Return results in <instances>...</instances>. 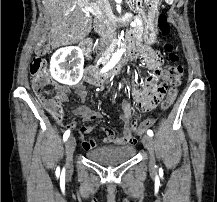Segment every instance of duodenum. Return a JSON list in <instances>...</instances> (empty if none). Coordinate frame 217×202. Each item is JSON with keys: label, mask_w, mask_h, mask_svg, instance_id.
Instances as JSON below:
<instances>
[{"label": "duodenum", "mask_w": 217, "mask_h": 202, "mask_svg": "<svg viewBox=\"0 0 217 202\" xmlns=\"http://www.w3.org/2000/svg\"><path fill=\"white\" fill-rule=\"evenodd\" d=\"M138 44L133 42L129 51L128 62H133L138 56ZM84 50L86 52L89 51V45L86 44L84 46ZM123 70V66L118 67L115 70H108V71H99L94 66L90 65L85 69L84 72V81L94 85L100 86L111 79L114 75L119 74Z\"/></svg>", "instance_id": "duodenum-1"}]
</instances>
